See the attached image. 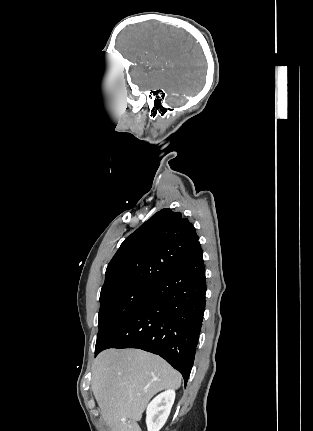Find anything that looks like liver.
<instances>
[{"label": "liver", "instance_id": "6515ba94", "mask_svg": "<svg viewBox=\"0 0 313 431\" xmlns=\"http://www.w3.org/2000/svg\"><path fill=\"white\" fill-rule=\"evenodd\" d=\"M180 385L165 360L139 349L105 350L92 365V390L111 431H141L137 422L150 399Z\"/></svg>", "mask_w": 313, "mask_h": 431}]
</instances>
